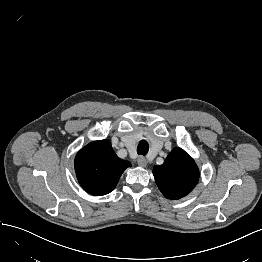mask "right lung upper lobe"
I'll list each match as a JSON object with an SVG mask.
<instances>
[{"label":"right lung upper lobe","mask_w":262,"mask_h":262,"mask_svg":"<svg viewBox=\"0 0 262 262\" xmlns=\"http://www.w3.org/2000/svg\"><path fill=\"white\" fill-rule=\"evenodd\" d=\"M131 164L120 159L108 140L95 141L82 148L75 158V171L80 185L92 195H105L117 185Z\"/></svg>","instance_id":"obj_1"}]
</instances>
